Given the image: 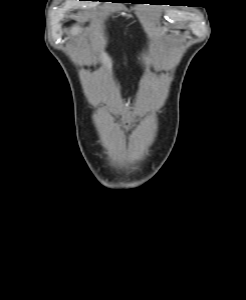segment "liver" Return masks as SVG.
<instances>
[{"label":"liver","mask_w":246,"mask_h":300,"mask_svg":"<svg viewBox=\"0 0 246 300\" xmlns=\"http://www.w3.org/2000/svg\"><path fill=\"white\" fill-rule=\"evenodd\" d=\"M80 32H81V28L78 25L73 26L72 29H71V34L72 35H78ZM144 60H145V64L147 66H149V64H150L149 59L144 57ZM101 62L109 70H111L112 62H111V59L109 58V56L106 53H102V55H101Z\"/></svg>","instance_id":"liver-1"}]
</instances>
